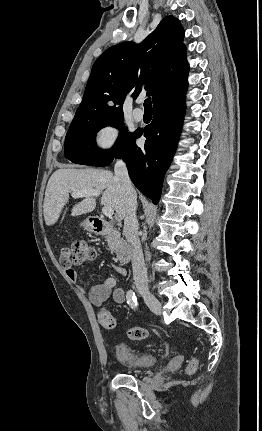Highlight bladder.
<instances>
[{"label":"bladder","mask_w":262,"mask_h":431,"mask_svg":"<svg viewBox=\"0 0 262 431\" xmlns=\"http://www.w3.org/2000/svg\"><path fill=\"white\" fill-rule=\"evenodd\" d=\"M118 360L126 367L138 369L151 366L158 360V355L151 351H137L126 345H117Z\"/></svg>","instance_id":"obj_1"}]
</instances>
